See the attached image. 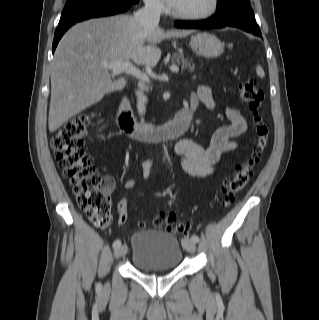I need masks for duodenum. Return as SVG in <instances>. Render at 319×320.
I'll use <instances>...</instances> for the list:
<instances>
[{"mask_svg":"<svg viewBox=\"0 0 319 320\" xmlns=\"http://www.w3.org/2000/svg\"><path fill=\"white\" fill-rule=\"evenodd\" d=\"M192 112L190 108H182L172 121L165 124L137 123L131 116L128 103L123 100L118 113V124L120 129L133 139L145 142L169 141L188 129Z\"/></svg>","mask_w":319,"mask_h":320,"instance_id":"duodenum-1","label":"duodenum"}]
</instances>
